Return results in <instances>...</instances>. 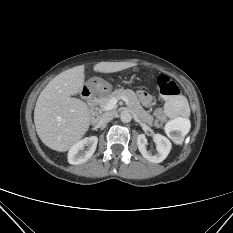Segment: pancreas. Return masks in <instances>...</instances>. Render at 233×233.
Listing matches in <instances>:
<instances>
[{
  "label": "pancreas",
  "instance_id": "cf45deb5",
  "mask_svg": "<svg viewBox=\"0 0 233 233\" xmlns=\"http://www.w3.org/2000/svg\"><path fill=\"white\" fill-rule=\"evenodd\" d=\"M120 96H125L129 100L128 107L139 117L141 121L147 123L149 125H154L156 127H161L157 120H154L153 116L150 115L147 111L143 109L141 106L137 95L134 91L130 89H117L113 91L111 94L105 95L97 100L98 105L103 109V106L111 99V98H119Z\"/></svg>",
  "mask_w": 233,
  "mask_h": 233
}]
</instances>
